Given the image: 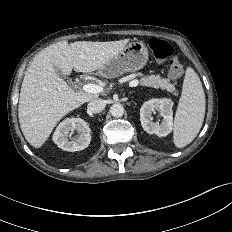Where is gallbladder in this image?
Returning <instances> with one entry per match:
<instances>
[{"mask_svg":"<svg viewBox=\"0 0 232 232\" xmlns=\"http://www.w3.org/2000/svg\"><path fill=\"white\" fill-rule=\"evenodd\" d=\"M57 74H58L59 76H61V77H64L63 73H62L60 70H58V69H57Z\"/></svg>","mask_w":232,"mask_h":232,"instance_id":"bac80fb5","label":"gallbladder"}]
</instances>
